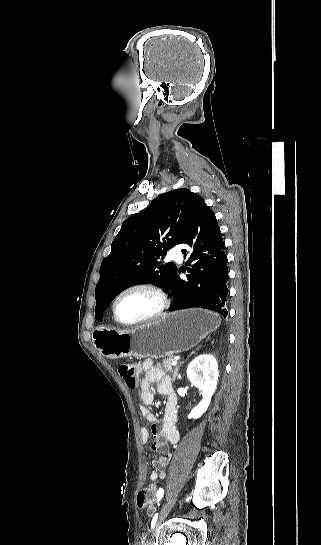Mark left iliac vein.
I'll use <instances>...</instances> for the list:
<instances>
[{"mask_svg":"<svg viewBox=\"0 0 321 545\" xmlns=\"http://www.w3.org/2000/svg\"><path fill=\"white\" fill-rule=\"evenodd\" d=\"M177 500V496H172L167 503L163 506L162 510L160 511L159 517L157 518L156 523L153 526V536L156 534L158 527L161 525V523L164 521L168 513L171 511L172 507L174 506L175 502ZM153 544L152 540L148 542V545Z\"/></svg>","mask_w":321,"mask_h":545,"instance_id":"1","label":"left iliac vein"}]
</instances>
